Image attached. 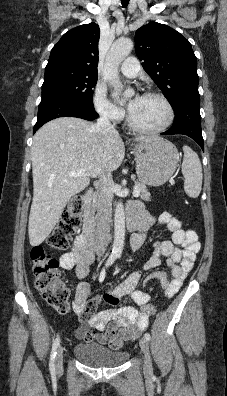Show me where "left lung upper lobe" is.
Here are the masks:
<instances>
[{"mask_svg":"<svg viewBox=\"0 0 227 396\" xmlns=\"http://www.w3.org/2000/svg\"><path fill=\"white\" fill-rule=\"evenodd\" d=\"M135 51L173 108L183 99L200 97L197 59L179 32L151 22L136 31Z\"/></svg>","mask_w":227,"mask_h":396,"instance_id":"5c2ea615","label":"left lung upper lobe"}]
</instances>
